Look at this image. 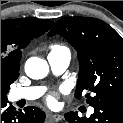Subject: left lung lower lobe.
Returning <instances> with one entry per match:
<instances>
[{
  "instance_id": "obj_1",
  "label": "left lung lower lobe",
  "mask_w": 123,
  "mask_h": 123,
  "mask_svg": "<svg viewBox=\"0 0 123 123\" xmlns=\"http://www.w3.org/2000/svg\"><path fill=\"white\" fill-rule=\"evenodd\" d=\"M70 123H123V102L106 100L94 106V113L89 117H79L77 112L65 114Z\"/></svg>"
}]
</instances>
